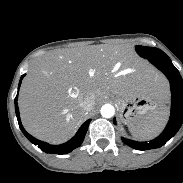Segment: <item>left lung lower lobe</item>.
<instances>
[{"label":"left lung lower lobe","mask_w":183,"mask_h":183,"mask_svg":"<svg viewBox=\"0 0 183 183\" xmlns=\"http://www.w3.org/2000/svg\"><path fill=\"white\" fill-rule=\"evenodd\" d=\"M148 60L162 71L170 82L172 93L171 114L164 131L157 138L149 142H138L121 138L126 145L137 150H149L163 146L177 133L183 123V80L179 71L167 55L152 57ZM113 122L116 123L115 119Z\"/></svg>","instance_id":"obj_1"}]
</instances>
